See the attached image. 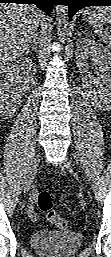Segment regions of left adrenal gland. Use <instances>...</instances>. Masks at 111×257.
<instances>
[{
  "label": "left adrenal gland",
  "instance_id": "1",
  "mask_svg": "<svg viewBox=\"0 0 111 257\" xmlns=\"http://www.w3.org/2000/svg\"><path fill=\"white\" fill-rule=\"evenodd\" d=\"M86 31H82L79 35H81L82 33L84 34Z\"/></svg>",
  "mask_w": 111,
  "mask_h": 257
}]
</instances>
